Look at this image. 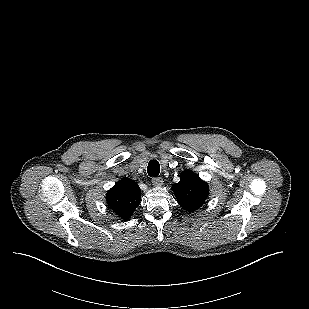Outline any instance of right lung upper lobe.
Returning <instances> with one entry per match:
<instances>
[{"mask_svg": "<svg viewBox=\"0 0 309 309\" xmlns=\"http://www.w3.org/2000/svg\"><path fill=\"white\" fill-rule=\"evenodd\" d=\"M140 198L141 190L130 178H122L106 196L109 207L124 220H128L133 215L140 203Z\"/></svg>", "mask_w": 309, "mask_h": 309, "instance_id": "1", "label": "right lung upper lobe"}]
</instances>
